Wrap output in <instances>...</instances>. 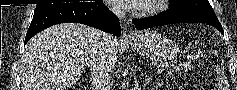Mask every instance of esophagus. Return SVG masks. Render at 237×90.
<instances>
[{
	"mask_svg": "<svg viewBox=\"0 0 237 90\" xmlns=\"http://www.w3.org/2000/svg\"><path fill=\"white\" fill-rule=\"evenodd\" d=\"M122 39H123V41L129 42V41L135 39V34L131 30H129L128 28H125L124 31H123Z\"/></svg>",
	"mask_w": 237,
	"mask_h": 90,
	"instance_id": "1",
	"label": "esophagus"
}]
</instances>
